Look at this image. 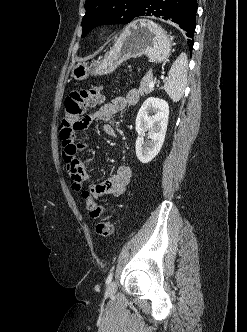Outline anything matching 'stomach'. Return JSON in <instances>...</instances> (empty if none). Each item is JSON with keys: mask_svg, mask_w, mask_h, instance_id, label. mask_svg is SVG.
<instances>
[{"mask_svg": "<svg viewBox=\"0 0 247 332\" xmlns=\"http://www.w3.org/2000/svg\"><path fill=\"white\" fill-rule=\"evenodd\" d=\"M146 55L150 62L161 63L171 55V41L167 33L156 23L137 19L122 32L114 46L92 65L77 63L71 67V76L84 80L89 75H106L113 72L124 61Z\"/></svg>", "mask_w": 247, "mask_h": 332, "instance_id": "obj_1", "label": "stomach"}]
</instances>
